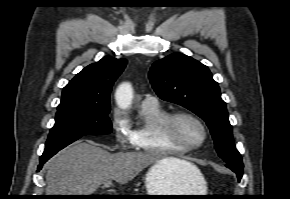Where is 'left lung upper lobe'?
<instances>
[{
    "label": "left lung upper lobe",
    "instance_id": "5c2ea615",
    "mask_svg": "<svg viewBox=\"0 0 290 199\" xmlns=\"http://www.w3.org/2000/svg\"><path fill=\"white\" fill-rule=\"evenodd\" d=\"M149 79L161 99L189 109L207 123L216 151L226 163L243 164L233 141L226 104L207 66L173 53L152 65Z\"/></svg>",
    "mask_w": 290,
    "mask_h": 199
}]
</instances>
